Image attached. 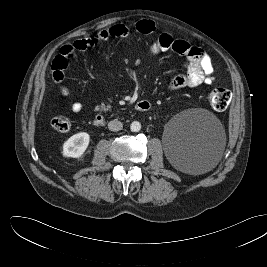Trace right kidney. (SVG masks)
Here are the masks:
<instances>
[{
    "mask_svg": "<svg viewBox=\"0 0 267 267\" xmlns=\"http://www.w3.org/2000/svg\"><path fill=\"white\" fill-rule=\"evenodd\" d=\"M90 136L86 132H80L71 136L64 144L62 154L64 157L79 158L86 151Z\"/></svg>",
    "mask_w": 267,
    "mask_h": 267,
    "instance_id": "1",
    "label": "right kidney"
}]
</instances>
